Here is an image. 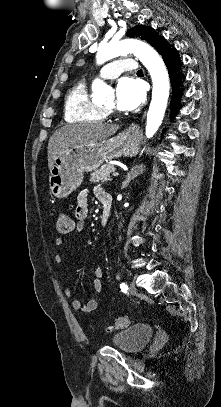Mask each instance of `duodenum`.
<instances>
[{
    "mask_svg": "<svg viewBox=\"0 0 221 407\" xmlns=\"http://www.w3.org/2000/svg\"><path fill=\"white\" fill-rule=\"evenodd\" d=\"M102 205H103V209H102V214L100 217V227L102 229H105L107 223H108V219L110 216V210H111V203H112V197L110 196L109 193H106L102 200Z\"/></svg>",
    "mask_w": 221,
    "mask_h": 407,
    "instance_id": "1",
    "label": "duodenum"
}]
</instances>
